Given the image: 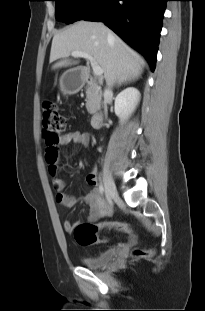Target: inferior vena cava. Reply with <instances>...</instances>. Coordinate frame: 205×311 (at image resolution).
Wrapping results in <instances>:
<instances>
[{
    "label": "inferior vena cava",
    "mask_w": 205,
    "mask_h": 311,
    "mask_svg": "<svg viewBox=\"0 0 205 311\" xmlns=\"http://www.w3.org/2000/svg\"><path fill=\"white\" fill-rule=\"evenodd\" d=\"M107 84L109 87L107 89H105V91H104V98H107V97H110L113 95L112 90L110 88V86L113 84V81L107 80Z\"/></svg>",
    "instance_id": "obj_1"
}]
</instances>
